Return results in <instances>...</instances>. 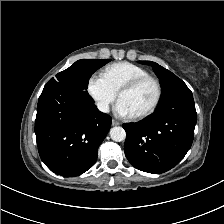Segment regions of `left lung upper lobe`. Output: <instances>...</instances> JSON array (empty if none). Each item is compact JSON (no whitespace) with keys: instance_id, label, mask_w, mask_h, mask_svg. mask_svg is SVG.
<instances>
[{"instance_id":"5c2ea615","label":"left lung upper lobe","mask_w":224,"mask_h":224,"mask_svg":"<svg viewBox=\"0 0 224 224\" xmlns=\"http://www.w3.org/2000/svg\"><path fill=\"white\" fill-rule=\"evenodd\" d=\"M139 62L142 64L151 65L156 75L160 79L163 91L159 105L172 100L181 93L190 91L189 88L181 79H179L172 72L163 68L157 63L151 61H139Z\"/></svg>"}]
</instances>
